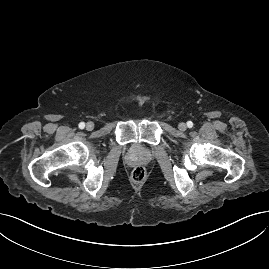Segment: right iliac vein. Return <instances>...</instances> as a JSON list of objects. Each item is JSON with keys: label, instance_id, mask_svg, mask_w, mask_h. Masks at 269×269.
<instances>
[{"label": "right iliac vein", "instance_id": "obj_1", "mask_svg": "<svg viewBox=\"0 0 269 269\" xmlns=\"http://www.w3.org/2000/svg\"><path fill=\"white\" fill-rule=\"evenodd\" d=\"M93 128H94V123L91 122V121L87 122V124H86V129H87L88 131H91Z\"/></svg>", "mask_w": 269, "mask_h": 269}]
</instances>
